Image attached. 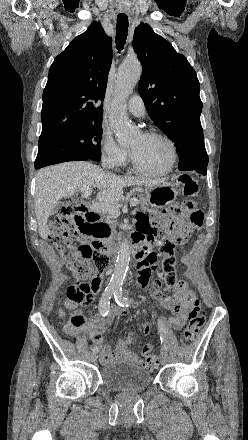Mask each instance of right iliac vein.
Segmentation results:
<instances>
[{"label": "right iliac vein", "instance_id": "1", "mask_svg": "<svg viewBox=\"0 0 248 440\" xmlns=\"http://www.w3.org/2000/svg\"><path fill=\"white\" fill-rule=\"evenodd\" d=\"M90 358H91V361L94 362V361L96 360V358H97L96 353L93 352V353L90 355Z\"/></svg>", "mask_w": 248, "mask_h": 440}]
</instances>
